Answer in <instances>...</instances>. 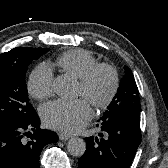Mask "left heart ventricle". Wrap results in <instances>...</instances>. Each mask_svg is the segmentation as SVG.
<instances>
[{
  "label": "left heart ventricle",
  "instance_id": "b2bd125f",
  "mask_svg": "<svg viewBox=\"0 0 168 168\" xmlns=\"http://www.w3.org/2000/svg\"><path fill=\"white\" fill-rule=\"evenodd\" d=\"M109 82H110V80H109V76L107 75V73L101 72L97 76V78L95 79V81L91 87V90H90L91 96L94 98L103 97L109 89ZM77 93H78V95H81V96H84V93H85V91L82 88V86L80 85V83L78 84Z\"/></svg>",
  "mask_w": 168,
  "mask_h": 168
}]
</instances>
